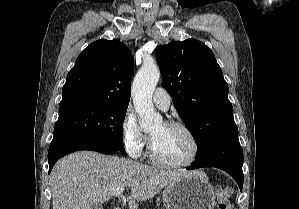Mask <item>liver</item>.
<instances>
[{
    "mask_svg": "<svg viewBox=\"0 0 299 209\" xmlns=\"http://www.w3.org/2000/svg\"><path fill=\"white\" fill-rule=\"evenodd\" d=\"M190 173L92 151L75 152L59 160L51 172L52 209H90L121 187L130 188L129 209H136L139 202Z\"/></svg>",
    "mask_w": 299,
    "mask_h": 209,
    "instance_id": "obj_1",
    "label": "liver"
}]
</instances>
